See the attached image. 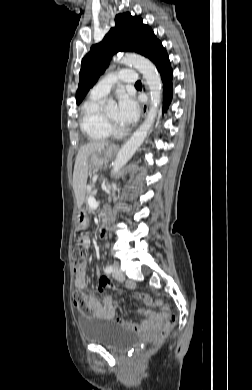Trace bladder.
Here are the masks:
<instances>
[{
  "label": "bladder",
  "instance_id": "1",
  "mask_svg": "<svg viewBox=\"0 0 252 390\" xmlns=\"http://www.w3.org/2000/svg\"><path fill=\"white\" fill-rule=\"evenodd\" d=\"M79 328L86 342L117 352L125 351L140 341L139 337L127 328L96 316L81 318Z\"/></svg>",
  "mask_w": 252,
  "mask_h": 390
}]
</instances>
